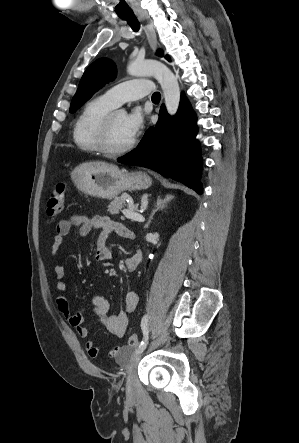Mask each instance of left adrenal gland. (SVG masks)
Wrapping results in <instances>:
<instances>
[{"label":"left adrenal gland","instance_id":"1","mask_svg":"<svg viewBox=\"0 0 299 443\" xmlns=\"http://www.w3.org/2000/svg\"><path fill=\"white\" fill-rule=\"evenodd\" d=\"M172 198H173V197L170 196V195H167L164 199H162V198H160V197L157 198L156 205H155V209L152 211V213H151V215H150V217H149V220H148L147 224L145 225V228H148V227H149L151 221L153 220L154 215H155L159 210H163V209L167 206V204L172 200Z\"/></svg>","mask_w":299,"mask_h":443}]
</instances>
